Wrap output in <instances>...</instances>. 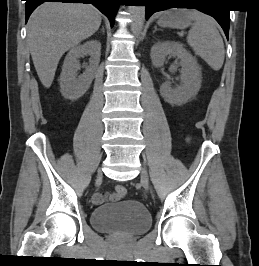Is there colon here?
<instances>
[{
    "label": "colon",
    "instance_id": "5ec220e1",
    "mask_svg": "<svg viewBox=\"0 0 259 266\" xmlns=\"http://www.w3.org/2000/svg\"><path fill=\"white\" fill-rule=\"evenodd\" d=\"M115 194L119 197V198H123L126 196L127 194V188L123 185H118L115 188Z\"/></svg>",
    "mask_w": 259,
    "mask_h": 266
}]
</instances>
